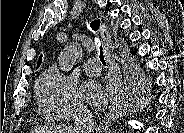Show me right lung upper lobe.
Instances as JSON below:
<instances>
[{
  "label": "right lung upper lobe",
  "mask_w": 184,
  "mask_h": 133,
  "mask_svg": "<svg viewBox=\"0 0 184 133\" xmlns=\"http://www.w3.org/2000/svg\"><path fill=\"white\" fill-rule=\"evenodd\" d=\"M90 26H91V28L93 30H98V28H99V20H95V21L91 22ZM41 62H42V55H40V57H39V60H38V63H37V68L39 67Z\"/></svg>",
  "instance_id": "1"
}]
</instances>
